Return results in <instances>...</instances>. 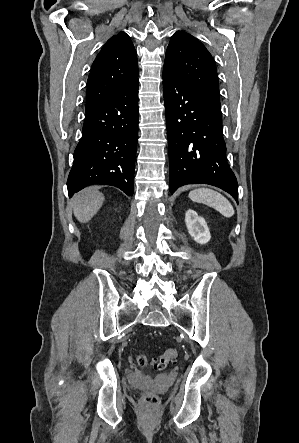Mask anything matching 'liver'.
Instances as JSON below:
<instances>
[{"label":"liver","mask_w":299,"mask_h":443,"mask_svg":"<svg viewBox=\"0 0 299 443\" xmlns=\"http://www.w3.org/2000/svg\"><path fill=\"white\" fill-rule=\"evenodd\" d=\"M104 195L93 187L85 188L72 198V208L76 219L89 222L102 207Z\"/></svg>","instance_id":"1"}]
</instances>
